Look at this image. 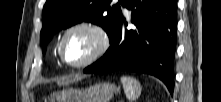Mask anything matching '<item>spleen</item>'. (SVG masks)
Listing matches in <instances>:
<instances>
[{
    "label": "spleen",
    "instance_id": "obj_1",
    "mask_svg": "<svg viewBox=\"0 0 221 102\" xmlns=\"http://www.w3.org/2000/svg\"><path fill=\"white\" fill-rule=\"evenodd\" d=\"M120 80L127 99L130 100V102L136 100L141 94V85L139 81L128 76H122Z\"/></svg>",
    "mask_w": 221,
    "mask_h": 102
}]
</instances>
